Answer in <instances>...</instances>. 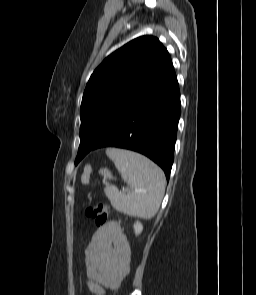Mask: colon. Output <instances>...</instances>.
Listing matches in <instances>:
<instances>
[{
  "mask_svg": "<svg viewBox=\"0 0 256 295\" xmlns=\"http://www.w3.org/2000/svg\"><path fill=\"white\" fill-rule=\"evenodd\" d=\"M86 217L92 219L97 226L104 225L109 216V211L104 203H98L93 206H89L85 209Z\"/></svg>",
  "mask_w": 256,
  "mask_h": 295,
  "instance_id": "1",
  "label": "colon"
}]
</instances>
